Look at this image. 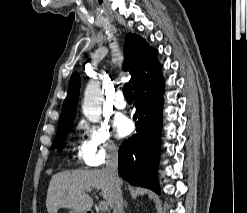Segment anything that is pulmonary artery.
I'll list each match as a JSON object with an SVG mask.
<instances>
[{
    "label": "pulmonary artery",
    "mask_w": 247,
    "mask_h": 213,
    "mask_svg": "<svg viewBox=\"0 0 247 213\" xmlns=\"http://www.w3.org/2000/svg\"><path fill=\"white\" fill-rule=\"evenodd\" d=\"M113 106L118 110H124L126 108V101L122 92L119 91L116 93Z\"/></svg>",
    "instance_id": "obj_1"
}]
</instances>
